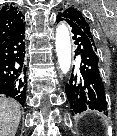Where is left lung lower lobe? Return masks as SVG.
I'll list each match as a JSON object with an SVG mask.
<instances>
[{
  "mask_svg": "<svg viewBox=\"0 0 117 136\" xmlns=\"http://www.w3.org/2000/svg\"><path fill=\"white\" fill-rule=\"evenodd\" d=\"M66 21L59 13L57 22ZM69 24V23H68ZM75 55L80 57V66L73 67L66 94L72 113L77 114L87 109L103 111L107 114L104 84L100 74L98 52L87 34L78 29H72Z\"/></svg>",
  "mask_w": 117,
  "mask_h": 136,
  "instance_id": "obj_1",
  "label": "left lung lower lobe"
}]
</instances>
